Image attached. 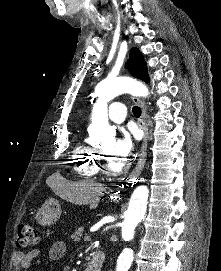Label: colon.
I'll return each mask as SVG.
<instances>
[{
  "label": "colon",
  "instance_id": "obj_1",
  "mask_svg": "<svg viewBox=\"0 0 221 271\" xmlns=\"http://www.w3.org/2000/svg\"><path fill=\"white\" fill-rule=\"evenodd\" d=\"M38 242V236L35 229L29 223H20L17 231L16 246L17 249H26Z\"/></svg>",
  "mask_w": 221,
  "mask_h": 271
}]
</instances>
